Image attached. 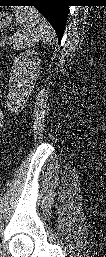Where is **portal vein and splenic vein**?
Here are the masks:
<instances>
[{"label":"portal vein and splenic vein","mask_w":106,"mask_h":257,"mask_svg":"<svg viewBox=\"0 0 106 257\" xmlns=\"http://www.w3.org/2000/svg\"><path fill=\"white\" fill-rule=\"evenodd\" d=\"M18 34H19V31H17V32L14 34V36H18Z\"/></svg>","instance_id":"1"}]
</instances>
